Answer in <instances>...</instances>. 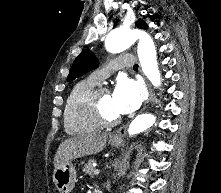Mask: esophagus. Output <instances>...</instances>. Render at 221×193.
<instances>
[{
	"mask_svg": "<svg viewBox=\"0 0 221 193\" xmlns=\"http://www.w3.org/2000/svg\"><path fill=\"white\" fill-rule=\"evenodd\" d=\"M147 87H148V91H149V97L146 100V102L144 103L142 110H145L150 105V103L152 102V99H153V91H152L151 86L148 82H147ZM127 127H128V125H125V126L121 127L120 129H118L116 131V133L112 135V139H114V140L119 139L122 136V134L126 132Z\"/></svg>",
	"mask_w": 221,
	"mask_h": 193,
	"instance_id": "1",
	"label": "esophagus"
}]
</instances>
